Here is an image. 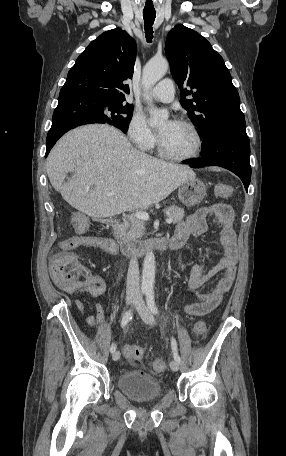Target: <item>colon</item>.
I'll return each mask as SVG.
<instances>
[{"label":"colon","instance_id":"5ec220e1","mask_svg":"<svg viewBox=\"0 0 286 456\" xmlns=\"http://www.w3.org/2000/svg\"><path fill=\"white\" fill-rule=\"evenodd\" d=\"M215 195L218 197H228L232 195V187L226 184L217 185L214 188ZM74 229L78 233H84L88 229L87 221L82 216H76L73 219ZM69 246L62 247V252L54 256L51 260V272L53 280L58 286L69 291L77 290L84 282L87 272L80 265L75 254L71 253ZM194 333L202 337L207 332V325L199 321L194 325ZM144 357V348L136 346L134 349L126 352V358L129 361H138ZM153 369L156 373H162L166 369V363L163 359L153 361Z\"/></svg>","mask_w":286,"mask_h":456}]
</instances>
